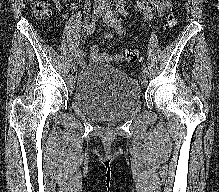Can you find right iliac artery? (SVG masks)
I'll list each match as a JSON object with an SVG mask.
<instances>
[{
    "instance_id": "right-iliac-artery-1",
    "label": "right iliac artery",
    "mask_w": 219,
    "mask_h": 192,
    "mask_svg": "<svg viewBox=\"0 0 219 192\" xmlns=\"http://www.w3.org/2000/svg\"><path fill=\"white\" fill-rule=\"evenodd\" d=\"M95 29H96V23L93 21L87 26L85 39L88 36H90L92 33H94ZM75 58L78 60H82L84 58V54H83L82 50L77 51Z\"/></svg>"
}]
</instances>
